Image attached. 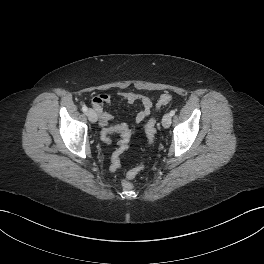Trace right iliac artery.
<instances>
[{"label": "right iliac artery", "mask_w": 264, "mask_h": 264, "mask_svg": "<svg viewBox=\"0 0 264 264\" xmlns=\"http://www.w3.org/2000/svg\"><path fill=\"white\" fill-rule=\"evenodd\" d=\"M87 110H88V108L84 105V106H82V111L83 112H87Z\"/></svg>", "instance_id": "82829eb1"}]
</instances>
